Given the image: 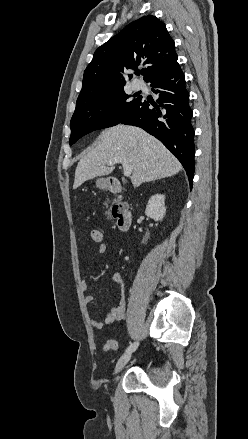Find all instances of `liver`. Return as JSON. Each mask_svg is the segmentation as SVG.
Returning a JSON list of instances; mask_svg holds the SVG:
<instances>
[{
  "label": "liver",
  "mask_w": 248,
  "mask_h": 439,
  "mask_svg": "<svg viewBox=\"0 0 248 439\" xmlns=\"http://www.w3.org/2000/svg\"><path fill=\"white\" fill-rule=\"evenodd\" d=\"M98 144L84 155L75 170L73 189L85 181L110 174L114 167L106 166L109 160L123 158L132 167L131 182L138 187L177 174L182 166L169 150L144 130L126 125L105 129Z\"/></svg>",
  "instance_id": "1"
}]
</instances>
